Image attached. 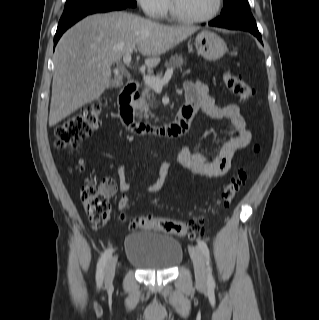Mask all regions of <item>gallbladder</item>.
Returning a JSON list of instances; mask_svg holds the SVG:
<instances>
[{"mask_svg":"<svg viewBox=\"0 0 319 320\" xmlns=\"http://www.w3.org/2000/svg\"><path fill=\"white\" fill-rule=\"evenodd\" d=\"M122 84L123 83H122L121 79L115 78L110 82V87L111 88H118V87H121Z\"/></svg>","mask_w":319,"mask_h":320,"instance_id":"bac80fb5","label":"gallbladder"}]
</instances>
